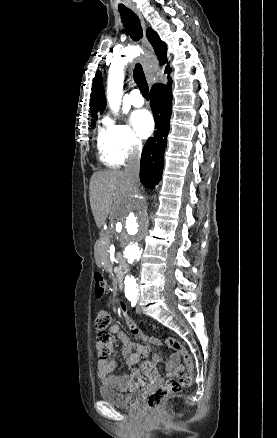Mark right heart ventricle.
I'll return each instance as SVG.
<instances>
[{
    "instance_id": "e07e8e85",
    "label": "right heart ventricle",
    "mask_w": 277,
    "mask_h": 438,
    "mask_svg": "<svg viewBox=\"0 0 277 438\" xmlns=\"http://www.w3.org/2000/svg\"><path fill=\"white\" fill-rule=\"evenodd\" d=\"M110 125L111 124H107L98 133L97 147L99 158L106 166L110 168H118L123 159L116 150L113 136L110 131Z\"/></svg>"
}]
</instances>
